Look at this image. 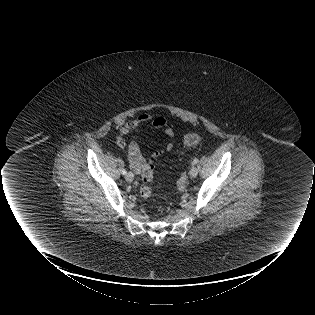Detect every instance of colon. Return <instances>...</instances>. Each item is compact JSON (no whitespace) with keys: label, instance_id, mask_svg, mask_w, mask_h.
Instances as JSON below:
<instances>
[{"label":"colon","instance_id":"colon-1","mask_svg":"<svg viewBox=\"0 0 315 315\" xmlns=\"http://www.w3.org/2000/svg\"><path fill=\"white\" fill-rule=\"evenodd\" d=\"M201 141V137L198 134H190L184 138V145L188 147H194L198 145ZM154 175V164L153 162H149L145 164L143 169L140 172V176L142 179V185L140 187L141 196L144 199H149L152 195V180Z\"/></svg>","mask_w":315,"mask_h":315}]
</instances>
